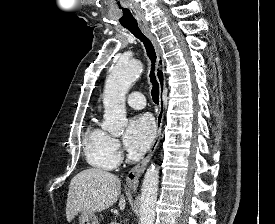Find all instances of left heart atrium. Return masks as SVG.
I'll use <instances>...</instances> for the list:
<instances>
[{"instance_id": "left-heart-atrium-1", "label": "left heart atrium", "mask_w": 275, "mask_h": 224, "mask_svg": "<svg viewBox=\"0 0 275 224\" xmlns=\"http://www.w3.org/2000/svg\"><path fill=\"white\" fill-rule=\"evenodd\" d=\"M156 134L152 118L141 115L132 118L124 134V145L133 154H142L150 146Z\"/></svg>"}]
</instances>
